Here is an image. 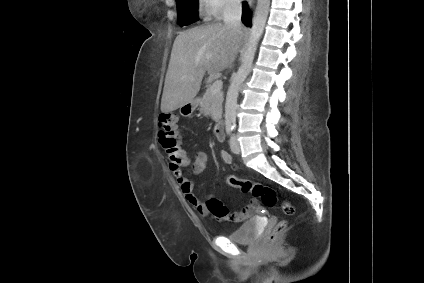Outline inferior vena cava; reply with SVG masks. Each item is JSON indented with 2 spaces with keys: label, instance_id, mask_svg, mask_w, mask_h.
Listing matches in <instances>:
<instances>
[{
  "label": "inferior vena cava",
  "instance_id": "inferior-vena-cava-1",
  "mask_svg": "<svg viewBox=\"0 0 424 283\" xmlns=\"http://www.w3.org/2000/svg\"><path fill=\"white\" fill-rule=\"evenodd\" d=\"M241 0H229L224 8L223 21L224 24L236 33H241Z\"/></svg>",
  "mask_w": 424,
  "mask_h": 283
}]
</instances>
